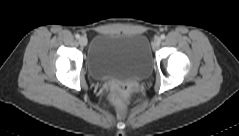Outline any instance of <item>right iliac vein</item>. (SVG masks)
<instances>
[{"instance_id":"63e3f726","label":"right iliac vein","mask_w":239,"mask_h":136,"mask_svg":"<svg viewBox=\"0 0 239 136\" xmlns=\"http://www.w3.org/2000/svg\"><path fill=\"white\" fill-rule=\"evenodd\" d=\"M87 43H88V40H87L86 37H81V38L79 39V44H80L81 46H86Z\"/></svg>"}]
</instances>
